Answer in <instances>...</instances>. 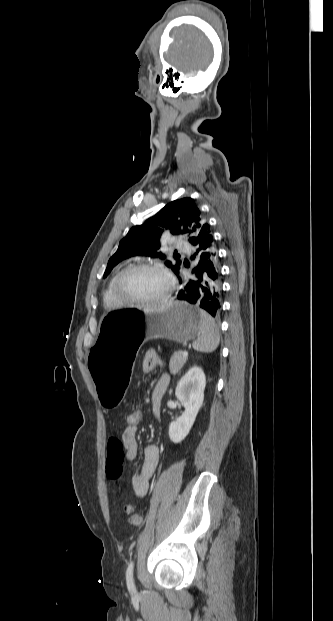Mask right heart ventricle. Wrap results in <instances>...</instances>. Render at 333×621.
Returning a JSON list of instances; mask_svg holds the SVG:
<instances>
[{"label":"right heart ventricle","instance_id":"e07e8e85","mask_svg":"<svg viewBox=\"0 0 333 621\" xmlns=\"http://www.w3.org/2000/svg\"><path fill=\"white\" fill-rule=\"evenodd\" d=\"M119 273H120V271H117V272H115L112 275V277L109 279V281L107 283V286H106V288L104 290L103 302H104V305L107 308H115V307H118L120 305L118 300H117V298H116V296H115L114 288H113L114 281H115V279H116V277L118 276Z\"/></svg>","mask_w":333,"mask_h":621}]
</instances>
